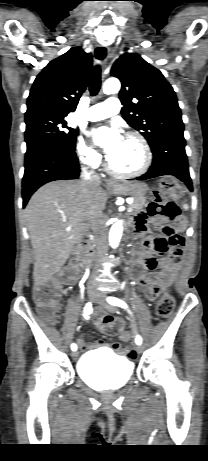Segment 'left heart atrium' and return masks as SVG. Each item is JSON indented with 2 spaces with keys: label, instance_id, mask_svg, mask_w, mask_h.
I'll list each match as a JSON object with an SVG mask.
<instances>
[{
  "label": "left heart atrium",
  "instance_id": "left-heart-atrium-1",
  "mask_svg": "<svg viewBox=\"0 0 208 461\" xmlns=\"http://www.w3.org/2000/svg\"><path fill=\"white\" fill-rule=\"evenodd\" d=\"M93 140L110 156L118 148L122 136L115 128L99 127L92 132Z\"/></svg>",
  "mask_w": 208,
  "mask_h": 461
}]
</instances>
